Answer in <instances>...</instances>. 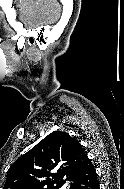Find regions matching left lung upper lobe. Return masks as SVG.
Masks as SVG:
<instances>
[{"label":"left lung upper lobe","instance_id":"obj_1","mask_svg":"<svg viewBox=\"0 0 124 189\" xmlns=\"http://www.w3.org/2000/svg\"><path fill=\"white\" fill-rule=\"evenodd\" d=\"M88 159L78 140L54 131L10 166L3 189H59Z\"/></svg>","mask_w":124,"mask_h":189}]
</instances>
